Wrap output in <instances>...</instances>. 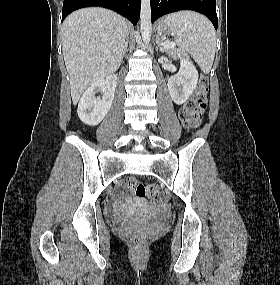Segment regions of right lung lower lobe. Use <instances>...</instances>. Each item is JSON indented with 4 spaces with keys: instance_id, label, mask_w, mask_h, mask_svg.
I'll return each instance as SVG.
<instances>
[{
    "instance_id": "right-lung-lower-lobe-1",
    "label": "right lung lower lobe",
    "mask_w": 280,
    "mask_h": 285,
    "mask_svg": "<svg viewBox=\"0 0 280 285\" xmlns=\"http://www.w3.org/2000/svg\"><path fill=\"white\" fill-rule=\"evenodd\" d=\"M91 6L114 10L136 25L140 17L141 0H64L62 21L74 10Z\"/></svg>"
}]
</instances>
